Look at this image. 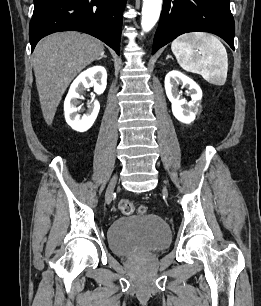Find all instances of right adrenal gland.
Masks as SVG:
<instances>
[{"mask_svg": "<svg viewBox=\"0 0 261 306\" xmlns=\"http://www.w3.org/2000/svg\"><path fill=\"white\" fill-rule=\"evenodd\" d=\"M102 58H107V56L102 54L101 57L98 60H101Z\"/></svg>", "mask_w": 261, "mask_h": 306, "instance_id": "2a0ac1e0", "label": "right adrenal gland"}]
</instances>
